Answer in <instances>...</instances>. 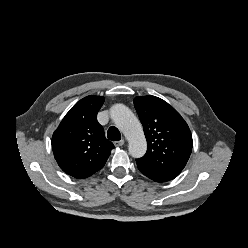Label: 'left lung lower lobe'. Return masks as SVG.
Segmentation results:
<instances>
[{
  "mask_svg": "<svg viewBox=\"0 0 248 248\" xmlns=\"http://www.w3.org/2000/svg\"><path fill=\"white\" fill-rule=\"evenodd\" d=\"M136 163L140 172H142L145 176L149 177L155 182L170 181L178 176L177 174L148 166L138 159H136Z\"/></svg>",
  "mask_w": 248,
  "mask_h": 248,
  "instance_id": "1",
  "label": "left lung lower lobe"
}]
</instances>
